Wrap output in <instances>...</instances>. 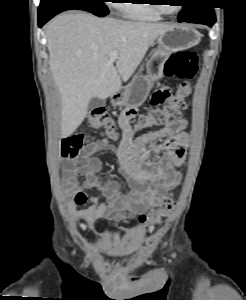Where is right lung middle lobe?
Listing matches in <instances>:
<instances>
[{"instance_id": "dd1d6c3e", "label": "right lung middle lobe", "mask_w": 246, "mask_h": 300, "mask_svg": "<svg viewBox=\"0 0 246 300\" xmlns=\"http://www.w3.org/2000/svg\"><path fill=\"white\" fill-rule=\"evenodd\" d=\"M104 2L105 0H41L38 13H44L56 6L68 5L103 17L109 12Z\"/></svg>"}]
</instances>
